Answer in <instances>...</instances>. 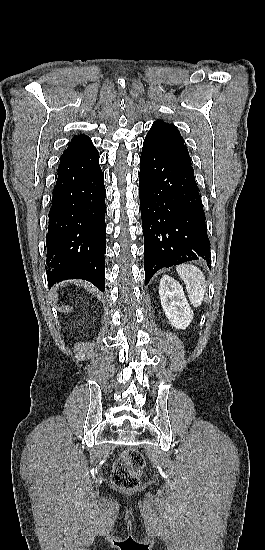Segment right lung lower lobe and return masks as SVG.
I'll return each instance as SVG.
<instances>
[{
	"label": "right lung lower lobe",
	"instance_id": "right-lung-lower-lobe-1",
	"mask_svg": "<svg viewBox=\"0 0 265 550\" xmlns=\"http://www.w3.org/2000/svg\"><path fill=\"white\" fill-rule=\"evenodd\" d=\"M96 148L63 157L46 236L48 285L83 279L105 290L106 190Z\"/></svg>",
	"mask_w": 265,
	"mask_h": 550
}]
</instances>
